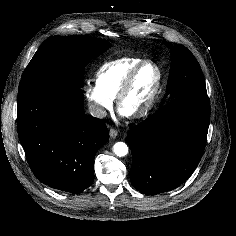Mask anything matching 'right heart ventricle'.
Instances as JSON below:
<instances>
[{
    "instance_id": "right-heart-ventricle-1",
    "label": "right heart ventricle",
    "mask_w": 236,
    "mask_h": 236,
    "mask_svg": "<svg viewBox=\"0 0 236 236\" xmlns=\"http://www.w3.org/2000/svg\"><path fill=\"white\" fill-rule=\"evenodd\" d=\"M145 59L140 57H123L105 63L96 74V83L111 99L117 94L128 73Z\"/></svg>"
}]
</instances>
